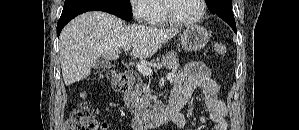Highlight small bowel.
<instances>
[{
  "mask_svg": "<svg viewBox=\"0 0 299 130\" xmlns=\"http://www.w3.org/2000/svg\"><path fill=\"white\" fill-rule=\"evenodd\" d=\"M196 88H201L205 94L207 114L200 116L189 125L182 113L175 117L174 124L182 130H190V126L212 123L210 130H227L228 109L225 101L220 97V86L212 78L210 68L202 62H191L180 69L174 79L172 94H185L188 98ZM106 121L101 123L102 130H108Z\"/></svg>",
  "mask_w": 299,
  "mask_h": 130,
  "instance_id": "obj_1",
  "label": "small bowel"
}]
</instances>
